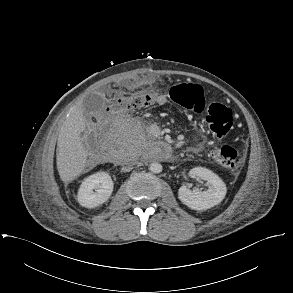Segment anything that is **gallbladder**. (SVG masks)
Wrapping results in <instances>:
<instances>
[{
  "label": "gallbladder",
  "mask_w": 293,
  "mask_h": 293,
  "mask_svg": "<svg viewBox=\"0 0 293 293\" xmlns=\"http://www.w3.org/2000/svg\"><path fill=\"white\" fill-rule=\"evenodd\" d=\"M104 104V98L97 94H89L83 101V113L87 117L91 114H95L101 110Z\"/></svg>",
  "instance_id": "1"
}]
</instances>
